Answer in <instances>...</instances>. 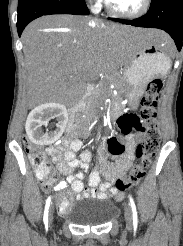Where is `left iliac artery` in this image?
<instances>
[{
  "instance_id": "obj_1",
  "label": "left iliac artery",
  "mask_w": 183,
  "mask_h": 246,
  "mask_svg": "<svg viewBox=\"0 0 183 246\" xmlns=\"http://www.w3.org/2000/svg\"><path fill=\"white\" fill-rule=\"evenodd\" d=\"M129 200H130V206L132 208V213H133V225L136 228L138 224L136 205L131 195H129Z\"/></svg>"
}]
</instances>
